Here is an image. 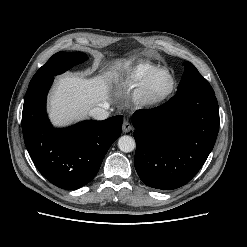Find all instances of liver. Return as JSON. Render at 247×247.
Instances as JSON below:
<instances>
[{"label":"liver","mask_w":247,"mask_h":247,"mask_svg":"<svg viewBox=\"0 0 247 247\" xmlns=\"http://www.w3.org/2000/svg\"><path fill=\"white\" fill-rule=\"evenodd\" d=\"M113 64L120 68L122 62L116 60ZM117 77V72H107L91 79L78 73L59 77L48 101L52 123L58 127L67 126L86 116L94 107L109 105L110 83Z\"/></svg>","instance_id":"6515ba94"}]
</instances>
